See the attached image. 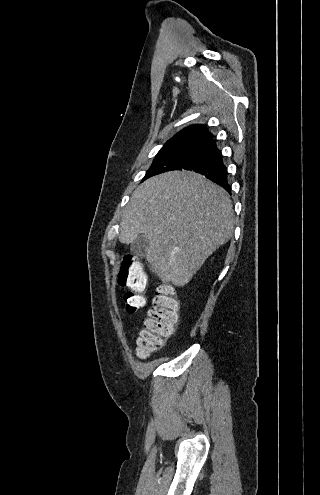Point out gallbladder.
<instances>
[{"label":"gallbladder","mask_w":320,"mask_h":495,"mask_svg":"<svg viewBox=\"0 0 320 495\" xmlns=\"http://www.w3.org/2000/svg\"><path fill=\"white\" fill-rule=\"evenodd\" d=\"M148 246H149L148 238L144 234L140 233L138 234L136 240L131 243L130 249L135 254L145 256L146 249Z\"/></svg>","instance_id":"1"}]
</instances>
